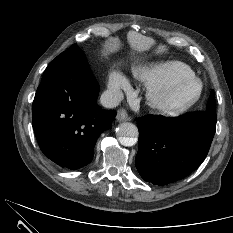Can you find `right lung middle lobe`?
Masks as SVG:
<instances>
[{"label": "right lung middle lobe", "mask_w": 233, "mask_h": 233, "mask_svg": "<svg viewBox=\"0 0 233 233\" xmlns=\"http://www.w3.org/2000/svg\"><path fill=\"white\" fill-rule=\"evenodd\" d=\"M70 59L86 60L83 51L77 46V44H73L67 51L61 53L52 62Z\"/></svg>", "instance_id": "dd1d6c3e"}]
</instances>
